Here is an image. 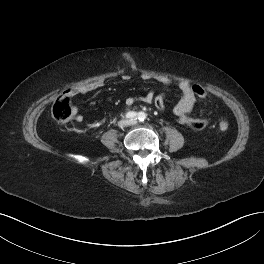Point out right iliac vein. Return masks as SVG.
Masks as SVG:
<instances>
[{
	"instance_id": "1",
	"label": "right iliac vein",
	"mask_w": 264,
	"mask_h": 264,
	"mask_svg": "<svg viewBox=\"0 0 264 264\" xmlns=\"http://www.w3.org/2000/svg\"><path fill=\"white\" fill-rule=\"evenodd\" d=\"M128 124H129V121H127V120H125V119L120 120V121L118 122V126H119L120 128H124V127L128 126Z\"/></svg>"
}]
</instances>
